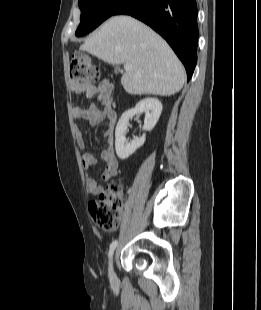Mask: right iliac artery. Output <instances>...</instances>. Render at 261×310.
I'll use <instances>...</instances> for the list:
<instances>
[{"label":"right iliac artery","mask_w":261,"mask_h":310,"mask_svg":"<svg viewBox=\"0 0 261 310\" xmlns=\"http://www.w3.org/2000/svg\"><path fill=\"white\" fill-rule=\"evenodd\" d=\"M117 240H115V241H113L112 243H111V245H110V248H109V258H111L112 257V255H113V253H114V250H115V248H116V246H117Z\"/></svg>","instance_id":"82829eb1"}]
</instances>
